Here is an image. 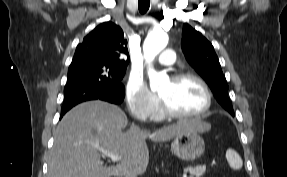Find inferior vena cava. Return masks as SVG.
Here are the masks:
<instances>
[{
	"instance_id": "602c4592",
	"label": "inferior vena cava",
	"mask_w": 287,
	"mask_h": 177,
	"mask_svg": "<svg viewBox=\"0 0 287 177\" xmlns=\"http://www.w3.org/2000/svg\"><path fill=\"white\" fill-rule=\"evenodd\" d=\"M124 177H137V173L134 170H132V169H128L125 172Z\"/></svg>"
}]
</instances>
